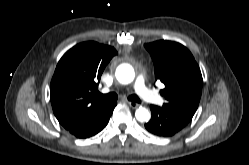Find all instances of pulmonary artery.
Listing matches in <instances>:
<instances>
[{"instance_id":"1","label":"pulmonary artery","mask_w":249,"mask_h":165,"mask_svg":"<svg viewBox=\"0 0 249 165\" xmlns=\"http://www.w3.org/2000/svg\"><path fill=\"white\" fill-rule=\"evenodd\" d=\"M134 89L137 94L146 102L160 104L162 102L161 97L146 87L145 78L143 75H139L134 83Z\"/></svg>"}]
</instances>
